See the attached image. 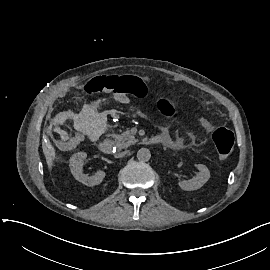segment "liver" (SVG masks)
<instances>
[{
  "instance_id": "liver-1",
  "label": "liver",
  "mask_w": 270,
  "mask_h": 270,
  "mask_svg": "<svg viewBox=\"0 0 270 270\" xmlns=\"http://www.w3.org/2000/svg\"><path fill=\"white\" fill-rule=\"evenodd\" d=\"M43 153L46 159L48 169L51 170L54 167L56 159V150L50 145H42Z\"/></svg>"
}]
</instances>
